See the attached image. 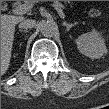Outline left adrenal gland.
<instances>
[{
    "label": "left adrenal gland",
    "mask_w": 109,
    "mask_h": 109,
    "mask_svg": "<svg viewBox=\"0 0 109 109\" xmlns=\"http://www.w3.org/2000/svg\"><path fill=\"white\" fill-rule=\"evenodd\" d=\"M78 23L75 22V23H67V22H63V25L66 26L67 28V31H69L73 26L77 25Z\"/></svg>",
    "instance_id": "obj_1"
}]
</instances>
